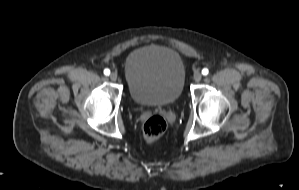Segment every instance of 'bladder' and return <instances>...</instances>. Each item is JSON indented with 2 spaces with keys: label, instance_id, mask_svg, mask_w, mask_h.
<instances>
[{
  "label": "bladder",
  "instance_id": "bladder-1",
  "mask_svg": "<svg viewBox=\"0 0 299 190\" xmlns=\"http://www.w3.org/2000/svg\"><path fill=\"white\" fill-rule=\"evenodd\" d=\"M123 73L134 102L142 106H160L179 98L185 84L186 68L177 50L148 44L127 56Z\"/></svg>",
  "mask_w": 299,
  "mask_h": 190
}]
</instances>
